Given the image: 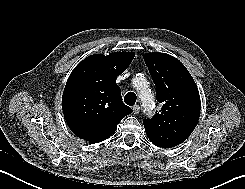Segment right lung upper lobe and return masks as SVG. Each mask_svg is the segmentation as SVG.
Returning <instances> with one entry per match:
<instances>
[{
    "mask_svg": "<svg viewBox=\"0 0 245 189\" xmlns=\"http://www.w3.org/2000/svg\"><path fill=\"white\" fill-rule=\"evenodd\" d=\"M133 52L95 54L81 61L69 76L62 110L73 133L91 143L109 138L132 109L122 102L116 78L131 64Z\"/></svg>",
    "mask_w": 245,
    "mask_h": 189,
    "instance_id": "right-lung-upper-lobe-1",
    "label": "right lung upper lobe"
}]
</instances>
